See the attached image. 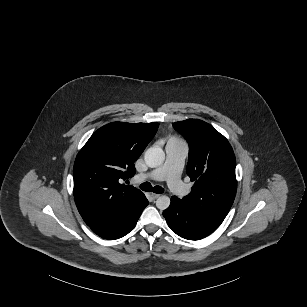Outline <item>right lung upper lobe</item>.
Returning <instances> with one entry per match:
<instances>
[{
  "mask_svg": "<svg viewBox=\"0 0 307 307\" xmlns=\"http://www.w3.org/2000/svg\"><path fill=\"white\" fill-rule=\"evenodd\" d=\"M158 123L113 122L93 133L78 153L74 168V199L88 226L124 210L143 193L121 184L135 174L134 162L154 137Z\"/></svg>",
  "mask_w": 307,
  "mask_h": 307,
  "instance_id": "1",
  "label": "right lung upper lobe"
}]
</instances>
